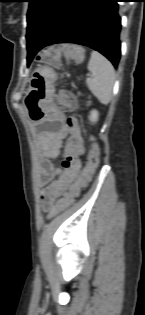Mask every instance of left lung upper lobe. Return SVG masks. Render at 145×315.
<instances>
[{
    "label": "left lung upper lobe",
    "instance_id": "1",
    "mask_svg": "<svg viewBox=\"0 0 145 315\" xmlns=\"http://www.w3.org/2000/svg\"><path fill=\"white\" fill-rule=\"evenodd\" d=\"M72 1L29 0L27 35L44 40Z\"/></svg>",
    "mask_w": 145,
    "mask_h": 315
}]
</instances>
